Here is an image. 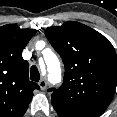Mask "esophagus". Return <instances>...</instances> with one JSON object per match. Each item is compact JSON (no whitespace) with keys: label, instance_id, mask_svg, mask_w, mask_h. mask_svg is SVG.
<instances>
[{"label":"esophagus","instance_id":"obj_1","mask_svg":"<svg viewBox=\"0 0 117 117\" xmlns=\"http://www.w3.org/2000/svg\"><path fill=\"white\" fill-rule=\"evenodd\" d=\"M38 84H39L41 90H45V88L47 86V81L45 79H41Z\"/></svg>","mask_w":117,"mask_h":117}]
</instances>
